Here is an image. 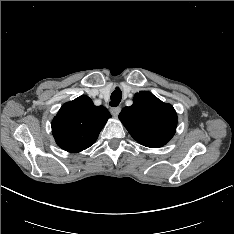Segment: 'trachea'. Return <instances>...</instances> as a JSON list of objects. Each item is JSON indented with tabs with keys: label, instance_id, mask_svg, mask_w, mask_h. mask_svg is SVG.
Here are the masks:
<instances>
[{
	"label": "trachea",
	"instance_id": "3493384b",
	"mask_svg": "<svg viewBox=\"0 0 234 234\" xmlns=\"http://www.w3.org/2000/svg\"><path fill=\"white\" fill-rule=\"evenodd\" d=\"M122 98V92L119 88H116L111 94V101L109 102V105L111 107H117L121 101Z\"/></svg>",
	"mask_w": 234,
	"mask_h": 234
}]
</instances>
